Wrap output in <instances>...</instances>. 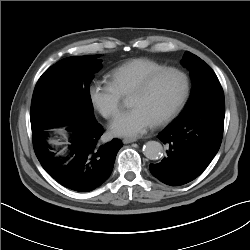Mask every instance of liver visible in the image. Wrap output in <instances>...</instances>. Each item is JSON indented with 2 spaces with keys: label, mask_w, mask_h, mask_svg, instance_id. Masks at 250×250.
Instances as JSON below:
<instances>
[{
  "label": "liver",
  "mask_w": 250,
  "mask_h": 250,
  "mask_svg": "<svg viewBox=\"0 0 250 250\" xmlns=\"http://www.w3.org/2000/svg\"><path fill=\"white\" fill-rule=\"evenodd\" d=\"M61 131V130H60ZM52 143H54V144H59V142L58 141H52Z\"/></svg>",
  "instance_id": "1"
}]
</instances>
